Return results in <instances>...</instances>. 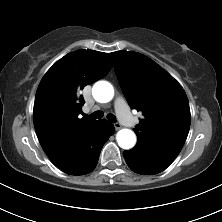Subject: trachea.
Instances as JSON below:
<instances>
[{"label":"trachea","instance_id":"1","mask_svg":"<svg viewBox=\"0 0 222 222\" xmlns=\"http://www.w3.org/2000/svg\"><path fill=\"white\" fill-rule=\"evenodd\" d=\"M86 118H94V119H100L103 117L102 111H95L91 115H85ZM107 119L111 121L112 123L116 122V117L113 114H108Z\"/></svg>","mask_w":222,"mask_h":222}]
</instances>
